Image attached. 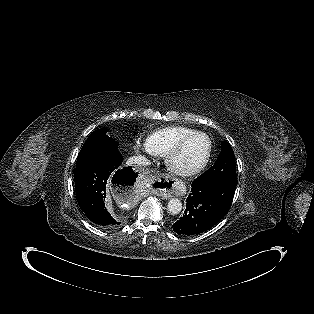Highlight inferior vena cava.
I'll list each match as a JSON object with an SVG mask.
<instances>
[{"label":"inferior vena cava","instance_id":"602c4592","mask_svg":"<svg viewBox=\"0 0 314 314\" xmlns=\"http://www.w3.org/2000/svg\"><path fill=\"white\" fill-rule=\"evenodd\" d=\"M127 164L129 166L141 167V166L149 165L150 162H149V160L146 157H144L142 155H137V156L130 157L127 160Z\"/></svg>","mask_w":314,"mask_h":314}]
</instances>
